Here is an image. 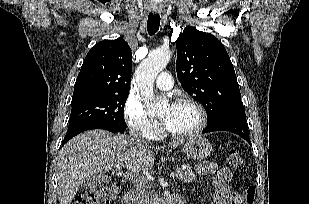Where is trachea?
I'll return each mask as SVG.
<instances>
[{
    "label": "trachea",
    "instance_id": "3493384b",
    "mask_svg": "<svg viewBox=\"0 0 309 204\" xmlns=\"http://www.w3.org/2000/svg\"><path fill=\"white\" fill-rule=\"evenodd\" d=\"M160 26V16L159 15H152L148 16L147 22V30L150 35H154Z\"/></svg>",
    "mask_w": 309,
    "mask_h": 204
}]
</instances>
